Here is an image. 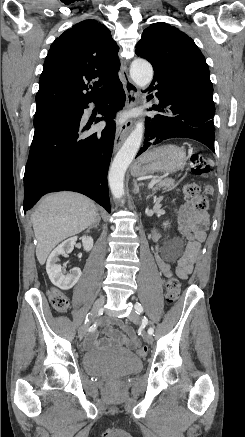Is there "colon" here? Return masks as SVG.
Returning a JSON list of instances; mask_svg holds the SVG:
<instances>
[{
	"instance_id": "5ec220e1",
	"label": "colon",
	"mask_w": 245,
	"mask_h": 437,
	"mask_svg": "<svg viewBox=\"0 0 245 437\" xmlns=\"http://www.w3.org/2000/svg\"><path fill=\"white\" fill-rule=\"evenodd\" d=\"M190 164L192 172L199 177H208L210 175V167L204 158L198 153H192L190 156ZM186 199L191 202L200 212H206L210 209V199L206 194L200 192L196 184H187L183 188ZM207 194L213 192L212 186H207ZM166 300L173 303L177 300L180 294V283L177 278L171 277L165 285ZM49 300L53 308L58 312H65L69 306L68 297L57 289L49 291ZM137 354L141 357L146 356L147 348L140 346L137 348Z\"/></svg>"
}]
</instances>
